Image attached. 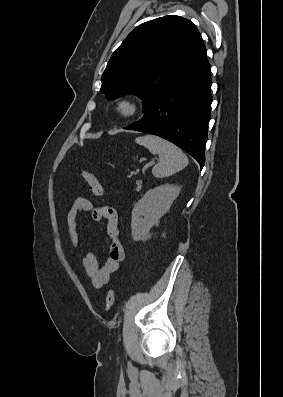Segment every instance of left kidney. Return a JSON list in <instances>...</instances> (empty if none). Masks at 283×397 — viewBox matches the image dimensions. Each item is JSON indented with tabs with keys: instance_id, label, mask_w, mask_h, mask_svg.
<instances>
[{
	"instance_id": "5707ae66",
	"label": "left kidney",
	"mask_w": 283,
	"mask_h": 397,
	"mask_svg": "<svg viewBox=\"0 0 283 397\" xmlns=\"http://www.w3.org/2000/svg\"><path fill=\"white\" fill-rule=\"evenodd\" d=\"M180 187L165 184L149 190L132 210L131 231L134 241L144 240L178 197Z\"/></svg>"
}]
</instances>
